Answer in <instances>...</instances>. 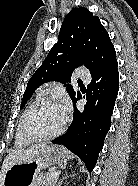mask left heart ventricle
<instances>
[{
	"instance_id": "b2bd125f",
	"label": "left heart ventricle",
	"mask_w": 138,
	"mask_h": 186,
	"mask_svg": "<svg viewBox=\"0 0 138 186\" xmlns=\"http://www.w3.org/2000/svg\"><path fill=\"white\" fill-rule=\"evenodd\" d=\"M66 112L62 106L49 104L35 110L27 119V131L35 136H45L58 131L64 124Z\"/></svg>"
}]
</instances>
